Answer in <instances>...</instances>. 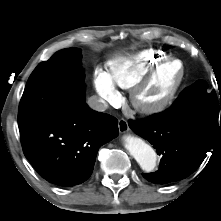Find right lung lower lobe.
Listing matches in <instances>:
<instances>
[{
  "instance_id": "right-lung-lower-lobe-1",
  "label": "right lung lower lobe",
  "mask_w": 221,
  "mask_h": 221,
  "mask_svg": "<svg viewBox=\"0 0 221 221\" xmlns=\"http://www.w3.org/2000/svg\"><path fill=\"white\" fill-rule=\"evenodd\" d=\"M80 94L54 116L21 132L25 157L45 180L63 187L92 174L98 149L119 133L118 121L94 111Z\"/></svg>"
}]
</instances>
